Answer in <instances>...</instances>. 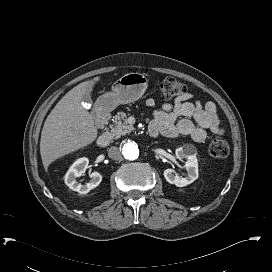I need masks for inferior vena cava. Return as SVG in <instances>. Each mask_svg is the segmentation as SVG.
<instances>
[{
    "label": "inferior vena cava",
    "mask_w": 272,
    "mask_h": 272,
    "mask_svg": "<svg viewBox=\"0 0 272 272\" xmlns=\"http://www.w3.org/2000/svg\"><path fill=\"white\" fill-rule=\"evenodd\" d=\"M108 156L114 160H120L122 157L121 150L116 146H112L108 150Z\"/></svg>",
    "instance_id": "1"
}]
</instances>
